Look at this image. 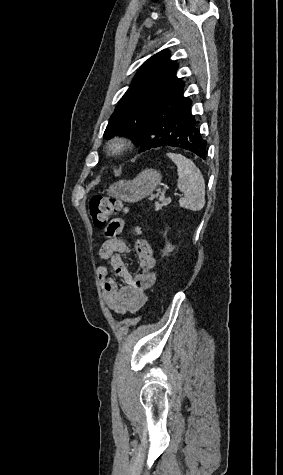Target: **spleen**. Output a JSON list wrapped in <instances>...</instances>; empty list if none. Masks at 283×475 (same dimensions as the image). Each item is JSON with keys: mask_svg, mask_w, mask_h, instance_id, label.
Returning a JSON list of instances; mask_svg holds the SVG:
<instances>
[{"mask_svg": "<svg viewBox=\"0 0 283 475\" xmlns=\"http://www.w3.org/2000/svg\"><path fill=\"white\" fill-rule=\"evenodd\" d=\"M168 158L177 166L178 188L183 192L184 198H180L181 208L198 212L205 206V182L199 170L192 160H188L181 154H167Z\"/></svg>", "mask_w": 283, "mask_h": 475, "instance_id": "3e777b00", "label": "spleen"}]
</instances>
